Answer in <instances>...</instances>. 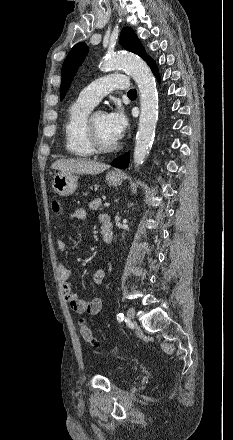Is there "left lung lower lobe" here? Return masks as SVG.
I'll return each mask as SVG.
<instances>
[{
    "mask_svg": "<svg viewBox=\"0 0 233 440\" xmlns=\"http://www.w3.org/2000/svg\"><path fill=\"white\" fill-rule=\"evenodd\" d=\"M146 62L150 66L151 70L153 71L157 79H159V73L155 61L150 57L149 59L146 60ZM128 164H129L128 153L121 155L111 163L112 166L120 169H125L128 166Z\"/></svg>",
    "mask_w": 233,
    "mask_h": 440,
    "instance_id": "left-lung-lower-lobe-1",
    "label": "left lung lower lobe"
}]
</instances>
